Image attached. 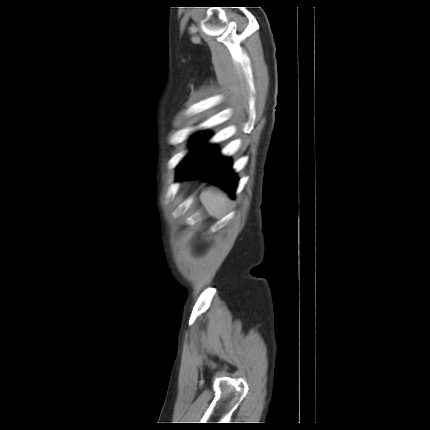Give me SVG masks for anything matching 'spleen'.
<instances>
[{
    "instance_id": "spleen-1",
    "label": "spleen",
    "mask_w": 430,
    "mask_h": 430,
    "mask_svg": "<svg viewBox=\"0 0 430 430\" xmlns=\"http://www.w3.org/2000/svg\"><path fill=\"white\" fill-rule=\"evenodd\" d=\"M203 206L208 210L209 214L216 218H221L228 211V202H219L215 194L208 190L200 197Z\"/></svg>"
}]
</instances>
